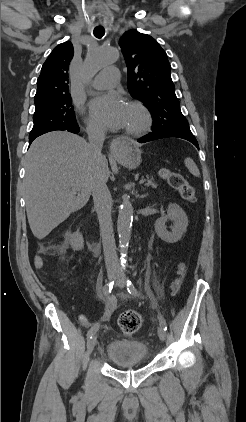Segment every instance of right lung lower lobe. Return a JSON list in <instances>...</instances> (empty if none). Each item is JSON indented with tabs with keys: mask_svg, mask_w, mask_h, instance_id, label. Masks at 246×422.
Here are the masks:
<instances>
[{
	"mask_svg": "<svg viewBox=\"0 0 246 422\" xmlns=\"http://www.w3.org/2000/svg\"><path fill=\"white\" fill-rule=\"evenodd\" d=\"M56 130H64V131H69V132H72V133H78V132H79V126L77 125V126H75V127H73V128H70V129H56ZM35 138H36V137H35ZM35 138H30V139H29V144H31V143H32V141H33Z\"/></svg>",
	"mask_w": 246,
	"mask_h": 422,
	"instance_id": "1",
	"label": "right lung lower lobe"
}]
</instances>
